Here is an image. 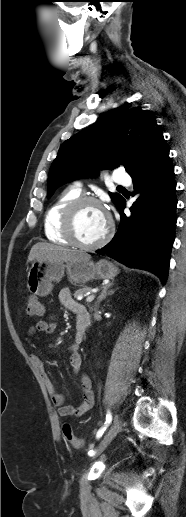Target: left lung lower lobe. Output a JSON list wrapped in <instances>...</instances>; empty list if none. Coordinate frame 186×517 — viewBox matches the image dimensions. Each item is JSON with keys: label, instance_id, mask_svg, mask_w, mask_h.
<instances>
[{"label": "left lung lower lobe", "instance_id": "obj_1", "mask_svg": "<svg viewBox=\"0 0 186 517\" xmlns=\"http://www.w3.org/2000/svg\"><path fill=\"white\" fill-rule=\"evenodd\" d=\"M134 181L131 216L123 213L125 199L117 205L121 222L114 238L96 252L130 266L146 269L165 283L175 238L176 182L169 147L164 138L129 174Z\"/></svg>", "mask_w": 186, "mask_h": 517}]
</instances>
